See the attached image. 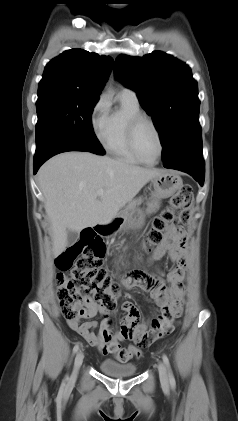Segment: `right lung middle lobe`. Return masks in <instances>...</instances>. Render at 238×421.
<instances>
[{
    "instance_id": "obj_1",
    "label": "right lung middle lobe",
    "mask_w": 238,
    "mask_h": 421,
    "mask_svg": "<svg viewBox=\"0 0 238 421\" xmlns=\"http://www.w3.org/2000/svg\"><path fill=\"white\" fill-rule=\"evenodd\" d=\"M98 99V95L83 92L38 89L36 144L54 131L73 139L92 153L104 155L91 123V114Z\"/></svg>"
}]
</instances>
